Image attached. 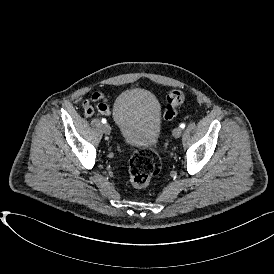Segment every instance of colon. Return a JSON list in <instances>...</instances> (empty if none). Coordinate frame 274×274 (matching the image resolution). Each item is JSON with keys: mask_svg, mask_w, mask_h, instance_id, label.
Here are the masks:
<instances>
[{"mask_svg": "<svg viewBox=\"0 0 274 274\" xmlns=\"http://www.w3.org/2000/svg\"><path fill=\"white\" fill-rule=\"evenodd\" d=\"M167 103L164 110V119L172 120L180 105L184 101V94L179 90L171 91L166 97ZM161 168L159 154L150 147L137 150L131 157L129 173L130 183L135 189H145L151 179Z\"/></svg>", "mask_w": 274, "mask_h": 274, "instance_id": "5ec220e1", "label": "colon"}]
</instances>
